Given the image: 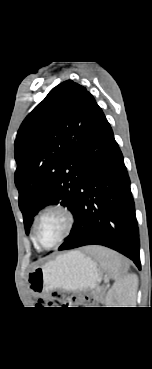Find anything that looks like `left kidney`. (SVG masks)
<instances>
[{"mask_svg":"<svg viewBox=\"0 0 152 369\" xmlns=\"http://www.w3.org/2000/svg\"><path fill=\"white\" fill-rule=\"evenodd\" d=\"M132 280V276H129L128 281ZM124 296L125 293H122L119 288H113L106 296V307H121V304H123L121 301L123 300Z\"/></svg>","mask_w":152,"mask_h":369,"instance_id":"left-kidney-1","label":"left kidney"}]
</instances>
